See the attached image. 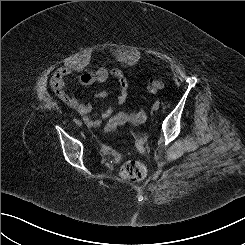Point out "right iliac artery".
<instances>
[{"instance_id":"obj_1","label":"right iliac artery","mask_w":245,"mask_h":245,"mask_svg":"<svg viewBox=\"0 0 245 245\" xmlns=\"http://www.w3.org/2000/svg\"><path fill=\"white\" fill-rule=\"evenodd\" d=\"M73 121H74L75 123H77L79 120H77V118H74Z\"/></svg>"}]
</instances>
